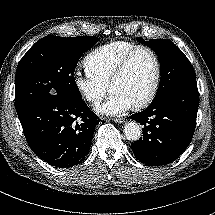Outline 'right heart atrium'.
<instances>
[{"label":"right heart atrium","mask_w":215,"mask_h":215,"mask_svg":"<svg viewBox=\"0 0 215 215\" xmlns=\"http://www.w3.org/2000/svg\"><path fill=\"white\" fill-rule=\"evenodd\" d=\"M73 84L79 95L89 104L99 103L106 95V85L87 73L75 71Z\"/></svg>","instance_id":"right-heart-atrium-1"}]
</instances>
